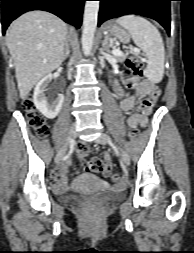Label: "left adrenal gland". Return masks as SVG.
Instances as JSON below:
<instances>
[{"instance_id": "obj_1", "label": "left adrenal gland", "mask_w": 194, "mask_h": 253, "mask_svg": "<svg viewBox=\"0 0 194 253\" xmlns=\"http://www.w3.org/2000/svg\"><path fill=\"white\" fill-rule=\"evenodd\" d=\"M108 42H109V37L106 36L102 42V48L107 51V52H110V49H109V45H108Z\"/></svg>"}]
</instances>
